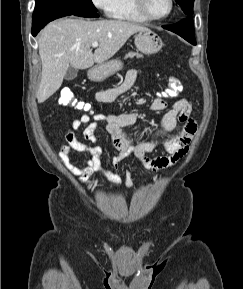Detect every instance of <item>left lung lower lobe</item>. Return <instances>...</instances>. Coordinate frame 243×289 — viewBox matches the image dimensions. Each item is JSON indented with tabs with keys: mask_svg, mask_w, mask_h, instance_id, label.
<instances>
[{
	"mask_svg": "<svg viewBox=\"0 0 243 289\" xmlns=\"http://www.w3.org/2000/svg\"><path fill=\"white\" fill-rule=\"evenodd\" d=\"M163 28L180 35L191 44L196 45L193 21L191 19H186L173 25H166Z\"/></svg>",
	"mask_w": 243,
	"mask_h": 289,
	"instance_id": "0a47b994",
	"label": "left lung lower lobe"
}]
</instances>
